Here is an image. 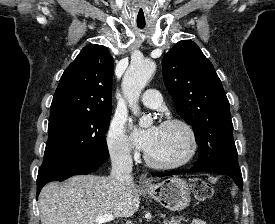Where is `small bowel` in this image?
I'll list each match as a JSON object with an SVG mask.
<instances>
[{"mask_svg":"<svg viewBox=\"0 0 275 224\" xmlns=\"http://www.w3.org/2000/svg\"><path fill=\"white\" fill-rule=\"evenodd\" d=\"M190 224H207V223L201 219H194Z\"/></svg>","mask_w":275,"mask_h":224,"instance_id":"obj_1","label":"small bowel"}]
</instances>
